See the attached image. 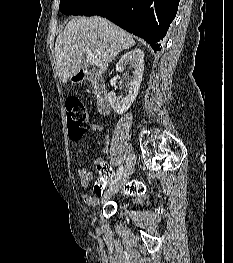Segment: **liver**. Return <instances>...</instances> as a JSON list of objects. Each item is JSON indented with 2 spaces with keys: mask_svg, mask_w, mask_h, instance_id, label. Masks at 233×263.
<instances>
[{
  "mask_svg": "<svg viewBox=\"0 0 233 263\" xmlns=\"http://www.w3.org/2000/svg\"><path fill=\"white\" fill-rule=\"evenodd\" d=\"M135 45L133 36L105 18L75 17L58 35L55 43L56 67L60 80L68 79L81 70L84 55L99 60L101 76L119 52Z\"/></svg>",
  "mask_w": 233,
  "mask_h": 263,
  "instance_id": "obj_1",
  "label": "liver"
}]
</instances>
